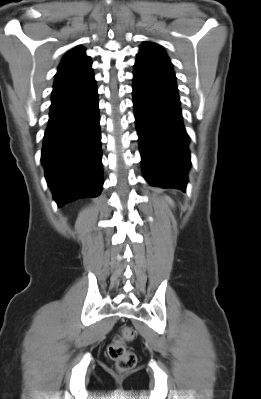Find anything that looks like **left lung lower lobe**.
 <instances>
[{
    "label": "left lung lower lobe",
    "mask_w": 261,
    "mask_h": 399,
    "mask_svg": "<svg viewBox=\"0 0 261 399\" xmlns=\"http://www.w3.org/2000/svg\"><path fill=\"white\" fill-rule=\"evenodd\" d=\"M177 91L173 71L135 63L133 103L145 179L185 191L191 161Z\"/></svg>",
    "instance_id": "1"
}]
</instances>
